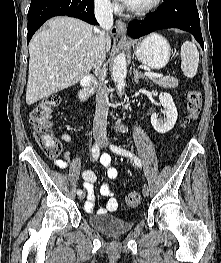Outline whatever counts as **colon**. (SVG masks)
<instances>
[{
  "label": "colon",
  "instance_id": "obj_1",
  "mask_svg": "<svg viewBox=\"0 0 221 263\" xmlns=\"http://www.w3.org/2000/svg\"><path fill=\"white\" fill-rule=\"evenodd\" d=\"M59 104L60 98L57 95H52L38 103L29 113V121L33 128L34 137L49 157H57L61 151L60 144L52 133V111ZM201 105L200 93L197 90H191L188 94L186 125L196 120L201 111ZM139 204L140 195L136 192L129 193L124 199L126 208H135Z\"/></svg>",
  "mask_w": 221,
  "mask_h": 263
}]
</instances>
